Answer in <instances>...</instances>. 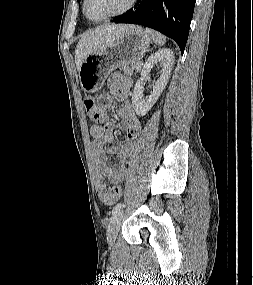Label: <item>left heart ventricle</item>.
<instances>
[{
  "mask_svg": "<svg viewBox=\"0 0 253 285\" xmlns=\"http://www.w3.org/2000/svg\"><path fill=\"white\" fill-rule=\"evenodd\" d=\"M129 0H87L86 11L91 18H101L123 9Z\"/></svg>",
  "mask_w": 253,
  "mask_h": 285,
  "instance_id": "obj_1",
  "label": "left heart ventricle"
}]
</instances>
